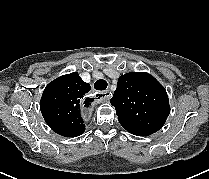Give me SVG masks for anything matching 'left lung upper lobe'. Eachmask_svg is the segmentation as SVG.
<instances>
[{
	"instance_id": "5c2ea615",
	"label": "left lung upper lobe",
	"mask_w": 209,
	"mask_h": 179,
	"mask_svg": "<svg viewBox=\"0 0 209 179\" xmlns=\"http://www.w3.org/2000/svg\"><path fill=\"white\" fill-rule=\"evenodd\" d=\"M110 102L116 109L120 123L150 134L164 125L170 113L166 90L146 72L120 76Z\"/></svg>"
}]
</instances>
